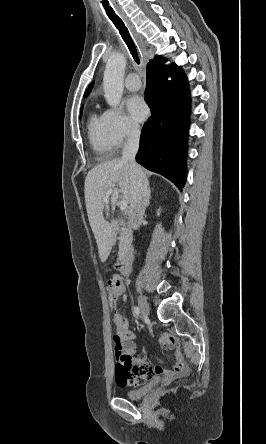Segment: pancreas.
I'll return each instance as SVG.
<instances>
[{"label":"pancreas","mask_w":266,"mask_h":444,"mask_svg":"<svg viewBox=\"0 0 266 444\" xmlns=\"http://www.w3.org/2000/svg\"><path fill=\"white\" fill-rule=\"evenodd\" d=\"M121 229H120V245L122 246L124 243L127 242V240L131 237V230L129 227H126V224L121 222Z\"/></svg>","instance_id":"1"}]
</instances>
